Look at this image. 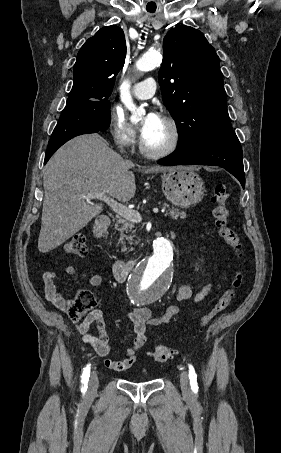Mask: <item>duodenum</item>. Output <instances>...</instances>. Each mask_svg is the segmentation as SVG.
<instances>
[{"mask_svg":"<svg viewBox=\"0 0 281 453\" xmlns=\"http://www.w3.org/2000/svg\"><path fill=\"white\" fill-rule=\"evenodd\" d=\"M110 225V221L107 218H100L96 221L94 226V233L97 237H103L106 235L108 228ZM137 260H129V261H116L113 265V275L114 278L118 282H124L134 266L136 265Z\"/></svg>","mask_w":281,"mask_h":453,"instance_id":"410a0bca","label":"duodenum"}]
</instances>
